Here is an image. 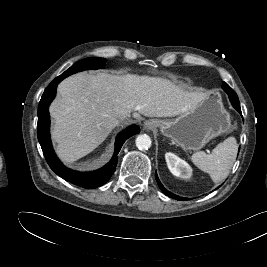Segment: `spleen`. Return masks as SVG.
<instances>
[{
  "mask_svg": "<svg viewBox=\"0 0 267 267\" xmlns=\"http://www.w3.org/2000/svg\"><path fill=\"white\" fill-rule=\"evenodd\" d=\"M237 142L229 137L219 143L210 154L203 151L192 155L193 164L205 173H208L213 182L224 180L230 173L237 156Z\"/></svg>",
  "mask_w": 267,
  "mask_h": 267,
  "instance_id": "3e777b00",
  "label": "spleen"
}]
</instances>
